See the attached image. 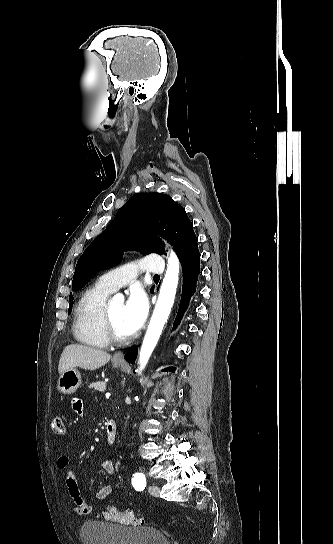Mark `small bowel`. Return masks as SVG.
I'll use <instances>...</instances> for the list:
<instances>
[{
    "label": "small bowel",
    "mask_w": 333,
    "mask_h": 544,
    "mask_svg": "<svg viewBox=\"0 0 333 544\" xmlns=\"http://www.w3.org/2000/svg\"><path fill=\"white\" fill-rule=\"evenodd\" d=\"M73 410L78 414L84 413V406L81 400L75 399L72 403ZM69 459L66 456H60L57 459V467L60 470H66V487L70 498L73 501L72 512L77 516L87 515L91 512L92 507L82 497L77 479L73 471L68 469ZM101 469L106 474H112L115 472V465L112 460L106 459L101 463ZM112 487L110 485H104L95 492V498L98 500H104L110 496Z\"/></svg>",
    "instance_id": "1"
}]
</instances>
